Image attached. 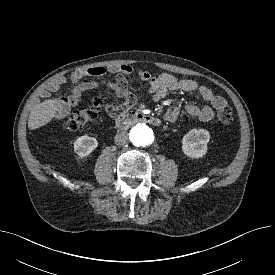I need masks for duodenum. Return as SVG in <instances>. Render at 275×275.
I'll return each instance as SVG.
<instances>
[{"mask_svg":"<svg viewBox=\"0 0 275 275\" xmlns=\"http://www.w3.org/2000/svg\"><path fill=\"white\" fill-rule=\"evenodd\" d=\"M137 122H143L153 126H159L161 124V121L158 117L140 112L124 113L119 115L116 119L117 127L122 130L127 129Z\"/></svg>","mask_w":275,"mask_h":275,"instance_id":"duodenum-1","label":"duodenum"}]
</instances>
